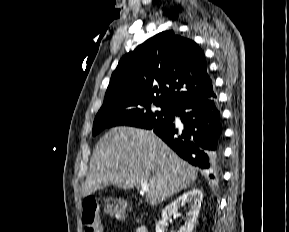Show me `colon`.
Segmentation results:
<instances>
[{
    "label": "colon",
    "mask_w": 289,
    "mask_h": 232,
    "mask_svg": "<svg viewBox=\"0 0 289 232\" xmlns=\"http://www.w3.org/2000/svg\"><path fill=\"white\" fill-rule=\"evenodd\" d=\"M104 211L121 219L124 216L123 208H115L109 204L104 205ZM100 202L97 198L90 196L84 199L82 205V224L84 232H102L99 223Z\"/></svg>",
    "instance_id": "colon-1"
}]
</instances>
